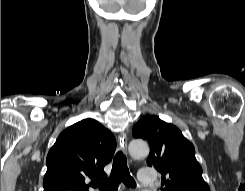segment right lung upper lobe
<instances>
[{"label": "right lung upper lobe", "instance_id": "obj_1", "mask_svg": "<svg viewBox=\"0 0 245 191\" xmlns=\"http://www.w3.org/2000/svg\"><path fill=\"white\" fill-rule=\"evenodd\" d=\"M116 149L113 134L93 119L65 129L50 149L44 191H88L89 185L106 178L104 166Z\"/></svg>", "mask_w": 245, "mask_h": 191}]
</instances>
